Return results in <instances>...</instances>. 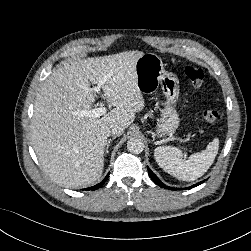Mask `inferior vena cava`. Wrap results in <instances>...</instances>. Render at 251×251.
Returning a JSON list of instances; mask_svg holds the SVG:
<instances>
[{
    "label": "inferior vena cava",
    "instance_id": "602c4592",
    "mask_svg": "<svg viewBox=\"0 0 251 251\" xmlns=\"http://www.w3.org/2000/svg\"><path fill=\"white\" fill-rule=\"evenodd\" d=\"M124 131V128L116 125H111L107 128L108 135H121Z\"/></svg>",
    "mask_w": 251,
    "mask_h": 251
}]
</instances>
